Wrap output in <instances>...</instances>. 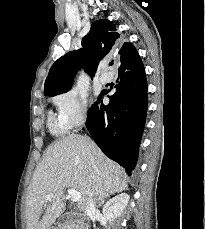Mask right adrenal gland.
I'll return each mask as SVG.
<instances>
[{
    "label": "right adrenal gland",
    "mask_w": 205,
    "mask_h": 229,
    "mask_svg": "<svg viewBox=\"0 0 205 229\" xmlns=\"http://www.w3.org/2000/svg\"><path fill=\"white\" fill-rule=\"evenodd\" d=\"M104 200H105V199H102V200L99 202L98 207L101 206V205L104 203Z\"/></svg>",
    "instance_id": "1"
}]
</instances>
